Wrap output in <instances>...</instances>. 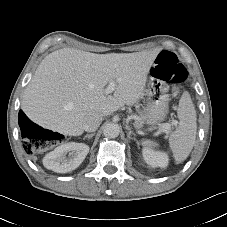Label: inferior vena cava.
Here are the masks:
<instances>
[{
    "label": "inferior vena cava",
    "instance_id": "602c4592",
    "mask_svg": "<svg viewBox=\"0 0 227 227\" xmlns=\"http://www.w3.org/2000/svg\"><path fill=\"white\" fill-rule=\"evenodd\" d=\"M103 116L99 113H93L85 118L84 130L87 132H94L98 129L102 122Z\"/></svg>",
    "mask_w": 227,
    "mask_h": 227
}]
</instances>
